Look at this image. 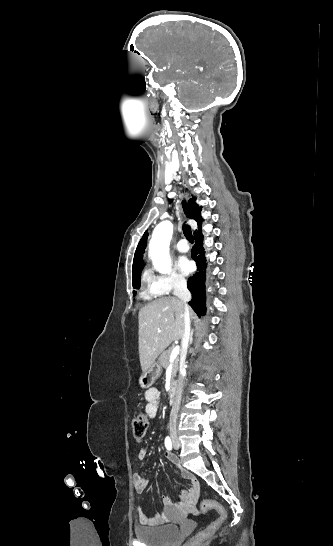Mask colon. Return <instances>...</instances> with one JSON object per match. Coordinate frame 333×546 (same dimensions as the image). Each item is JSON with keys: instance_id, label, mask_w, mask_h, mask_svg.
I'll return each instance as SVG.
<instances>
[{"instance_id": "obj_1", "label": "colon", "mask_w": 333, "mask_h": 546, "mask_svg": "<svg viewBox=\"0 0 333 546\" xmlns=\"http://www.w3.org/2000/svg\"><path fill=\"white\" fill-rule=\"evenodd\" d=\"M148 417L144 413H137L132 419V434L135 440L141 441L146 435L148 428ZM200 509L202 513H206L210 510H214L219 514V517L209 525L200 535H208L213 533L217 528H219L227 519V511L222 504L215 500L205 499L200 503ZM184 544L183 546H191V542Z\"/></svg>"}]
</instances>
